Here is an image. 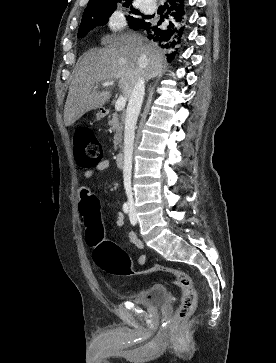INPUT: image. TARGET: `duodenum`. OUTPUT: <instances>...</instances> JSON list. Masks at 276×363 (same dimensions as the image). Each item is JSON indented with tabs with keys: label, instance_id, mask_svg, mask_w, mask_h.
<instances>
[{
	"label": "duodenum",
	"instance_id": "1",
	"mask_svg": "<svg viewBox=\"0 0 276 363\" xmlns=\"http://www.w3.org/2000/svg\"><path fill=\"white\" fill-rule=\"evenodd\" d=\"M124 163V153L123 152H117L116 154V164L117 166H122Z\"/></svg>",
	"mask_w": 276,
	"mask_h": 363
}]
</instances>
